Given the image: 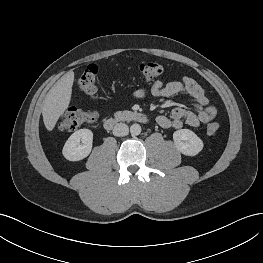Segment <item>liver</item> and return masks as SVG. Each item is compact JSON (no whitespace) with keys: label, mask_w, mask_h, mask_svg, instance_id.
<instances>
[{"label":"liver","mask_w":263,"mask_h":263,"mask_svg":"<svg viewBox=\"0 0 263 263\" xmlns=\"http://www.w3.org/2000/svg\"><path fill=\"white\" fill-rule=\"evenodd\" d=\"M73 82L74 72L70 70L47 93L43 101L42 116L48 131L54 129L57 121L68 108L71 101Z\"/></svg>","instance_id":"liver-1"}]
</instances>
